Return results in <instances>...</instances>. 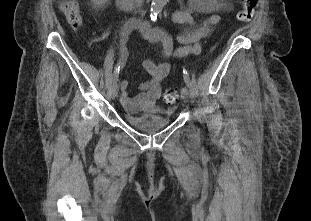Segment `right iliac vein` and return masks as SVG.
I'll list each match as a JSON object with an SVG mask.
<instances>
[{
	"label": "right iliac vein",
	"mask_w": 311,
	"mask_h": 221,
	"mask_svg": "<svg viewBox=\"0 0 311 221\" xmlns=\"http://www.w3.org/2000/svg\"><path fill=\"white\" fill-rule=\"evenodd\" d=\"M119 91V86L117 84V82H113L112 86H111V95L113 98H115L118 94Z\"/></svg>",
	"instance_id": "right-iliac-vein-1"
}]
</instances>
